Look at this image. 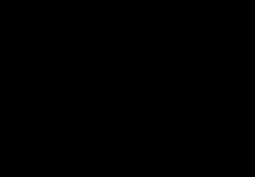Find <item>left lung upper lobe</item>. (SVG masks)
Segmentation results:
<instances>
[{
    "instance_id": "obj_1",
    "label": "left lung upper lobe",
    "mask_w": 255,
    "mask_h": 177,
    "mask_svg": "<svg viewBox=\"0 0 255 177\" xmlns=\"http://www.w3.org/2000/svg\"><path fill=\"white\" fill-rule=\"evenodd\" d=\"M152 45L159 58L161 68H164L172 51L170 42L162 37H153ZM158 85L161 107L168 113H175L181 100L180 90L173 83H169L162 73L159 75Z\"/></svg>"
}]
</instances>
